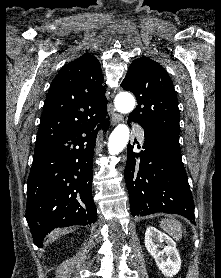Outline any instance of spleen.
<instances>
[{
  "mask_svg": "<svg viewBox=\"0 0 221 278\" xmlns=\"http://www.w3.org/2000/svg\"><path fill=\"white\" fill-rule=\"evenodd\" d=\"M160 226L164 231L170 234L174 239L180 240L182 238V224L174 219H162Z\"/></svg>",
  "mask_w": 221,
  "mask_h": 278,
  "instance_id": "obj_1",
  "label": "spleen"
}]
</instances>
